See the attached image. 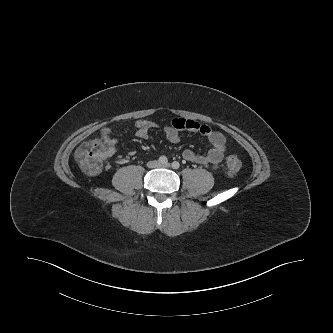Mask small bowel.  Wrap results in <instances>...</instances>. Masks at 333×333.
Returning <instances> with one entry per match:
<instances>
[{"instance_id": "obj_1", "label": "small bowel", "mask_w": 333, "mask_h": 333, "mask_svg": "<svg viewBox=\"0 0 333 333\" xmlns=\"http://www.w3.org/2000/svg\"><path fill=\"white\" fill-rule=\"evenodd\" d=\"M158 126L150 121L140 120L135 123V135L141 139H150V131ZM187 130L192 133H199L206 137L211 144V148L204 155L197 154L192 150H185L183 158L191 163L201 164L212 169H216L224 159L226 151V139L220 132L210 129L207 125L199 124L193 120L182 118L173 119L171 124L163 128L166 138L177 143L180 140V132ZM112 129L104 127L100 130V137L114 150L117 142L112 138Z\"/></svg>"}]
</instances>
